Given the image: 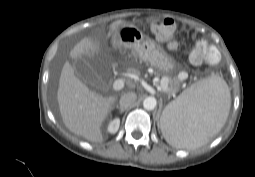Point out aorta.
<instances>
[{"instance_id": "aorta-1", "label": "aorta", "mask_w": 255, "mask_h": 177, "mask_svg": "<svg viewBox=\"0 0 255 177\" xmlns=\"http://www.w3.org/2000/svg\"><path fill=\"white\" fill-rule=\"evenodd\" d=\"M156 105H157V101H156V99L154 97H147L143 101V107L146 110H154Z\"/></svg>"}]
</instances>
